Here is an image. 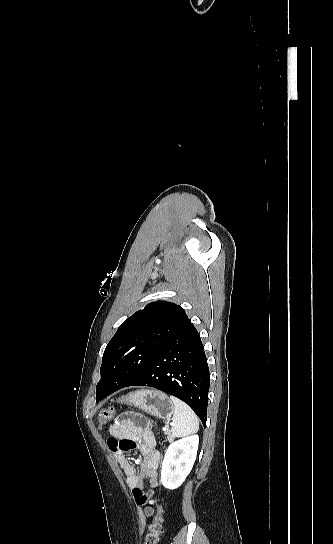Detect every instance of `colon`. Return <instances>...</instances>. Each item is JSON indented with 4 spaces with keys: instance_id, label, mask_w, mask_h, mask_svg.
Returning a JSON list of instances; mask_svg holds the SVG:
<instances>
[{
    "instance_id": "1",
    "label": "colon",
    "mask_w": 333,
    "mask_h": 544,
    "mask_svg": "<svg viewBox=\"0 0 333 544\" xmlns=\"http://www.w3.org/2000/svg\"><path fill=\"white\" fill-rule=\"evenodd\" d=\"M114 409L112 407H106L99 411L97 415V420L99 425L103 426L108 423L114 416ZM150 505L155 506L156 515L152 520V523L149 527V532L146 536L144 544H157L159 536L162 532V521H163V508L161 506V499L158 494H155L146 499Z\"/></svg>"
}]
</instances>
